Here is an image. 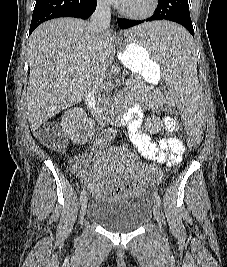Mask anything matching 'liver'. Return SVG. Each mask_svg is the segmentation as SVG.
I'll return each mask as SVG.
<instances>
[{
	"instance_id": "obj_1",
	"label": "liver",
	"mask_w": 227,
	"mask_h": 267,
	"mask_svg": "<svg viewBox=\"0 0 227 267\" xmlns=\"http://www.w3.org/2000/svg\"><path fill=\"white\" fill-rule=\"evenodd\" d=\"M115 52L113 33L106 31L98 39L88 21L59 18L37 27L28 46L26 100L31 129L36 131L56 113L82 101L97 73L105 74Z\"/></svg>"
}]
</instances>
